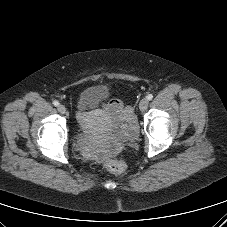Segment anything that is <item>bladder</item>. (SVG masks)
<instances>
[{"label":"bladder","instance_id":"bladder-1","mask_svg":"<svg viewBox=\"0 0 227 227\" xmlns=\"http://www.w3.org/2000/svg\"><path fill=\"white\" fill-rule=\"evenodd\" d=\"M108 89L97 85L84 89L77 98V109L80 113L79 124L83 127L93 125L99 116L97 107L100 101L107 96Z\"/></svg>","mask_w":227,"mask_h":227}]
</instances>
